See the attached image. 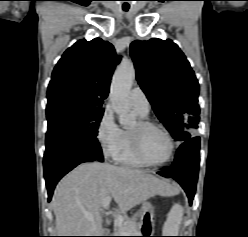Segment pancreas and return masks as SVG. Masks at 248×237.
I'll use <instances>...</instances> for the list:
<instances>
[{
  "label": "pancreas",
  "mask_w": 248,
  "mask_h": 237,
  "mask_svg": "<svg viewBox=\"0 0 248 237\" xmlns=\"http://www.w3.org/2000/svg\"><path fill=\"white\" fill-rule=\"evenodd\" d=\"M141 231V225L133 220L125 219L119 226L117 236H138Z\"/></svg>",
  "instance_id": "obj_1"
}]
</instances>
